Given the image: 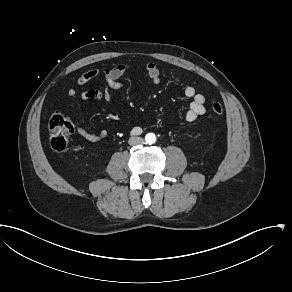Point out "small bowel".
I'll use <instances>...</instances> for the list:
<instances>
[{
  "mask_svg": "<svg viewBox=\"0 0 292 292\" xmlns=\"http://www.w3.org/2000/svg\"><path fill=\"white\" fill-rule=\"evenodd\" d=\"M129 70L128 64H120L115 67L109 68H96L90 69L77 78V84L80 86H87L96 77H103L106 83V90L102 92L96 89H85L81 93V98L86 100H102L113 103L115 101V93L122 87L120 78ZM148 75V85H156L160 82L161 76L167 71H161L156 64L149 63L146 66ZM184 94L191 99V103L186 112L185 119L188 122H194L205 113V97L198 93L195 87L191 84L184 86ZM68 101H72L77 96L75 89L70 88L66 92ZM76 133L86 141L97 142L107 137L106 130L98 132H91L81 125H76Z\"/></svg>",
  "mask_w": 292,
  "mask_h": 292,
  "instance_id": "obj_1",
  "label": "small bowel"
}]
</instances>
